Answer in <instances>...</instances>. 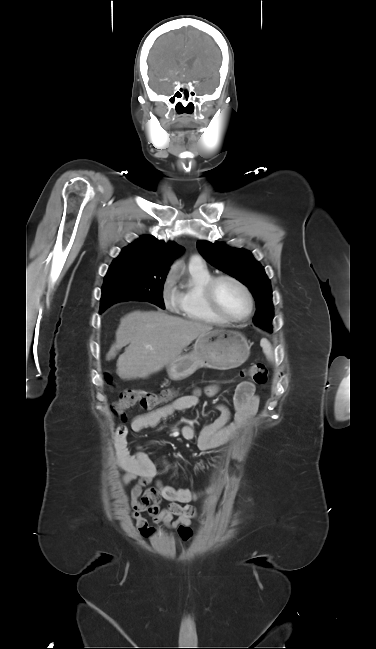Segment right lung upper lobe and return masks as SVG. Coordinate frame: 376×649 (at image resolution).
Listing matches in <instances>:
<instances>
[{"label":"right lung upper lobe","instance_id":"obj_1","mask_svg":"<svg viewBox=\"0 0 376 649\" xmlns=\"http://www.w3.org/2000/svg\"><path fill=\"white\" fill-rule=\"evenodd\" d=\"M182 251L183 247L174 242L165 243L145 235L125 247L116 259L141 262L150 272H168L172 258L180 255Z\"/></svg>","mask_w":376,"mask_h":649}]
</instances>
